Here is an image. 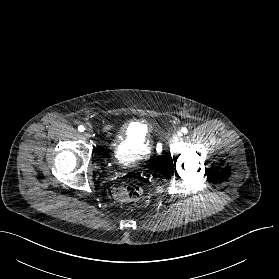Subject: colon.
<instances>
[{"instance_id":"1","label":"colon","mask_w":279,"mask_h":279,"mask_svg":"<svg viewBox=\"0 0 279 279\" xmlns=\"http://www.w3.org/2000/svg\"><path fill=\"white\" fill-rule=\"evenodd\" d=\"M143 189L136 183H122L113 190L114 197L120 202H133L141 198Z\"/></svg>"}]
</instances>
